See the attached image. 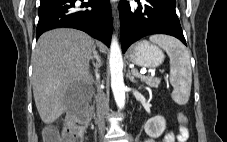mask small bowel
<instances>
[{
  "instance_id": "obj_1",
  "label": "small bowel",
  "mask_w": 227,
  "mask_h": 142,
  "mask_svg": "<svg viewBox=\"0 0 227 142\" xmlns=\"http://www.w3.org/2000/svg\"><path fill=\"white\" fill-rule=\"evenodd\" d=\"M185 138L181 133V130L178 134L173 132H167L164 137L157 142H185ZM145 142H155L153 139H146Z\"/></svg>"
}]
</instances>
